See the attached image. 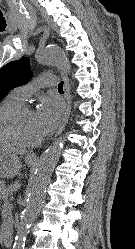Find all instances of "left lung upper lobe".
<instances>
[{"label":"left lung upper lobe","mask_w":135,"mask_h":249,"mask_svg":"<svg viewBox=\"0 0 135 249\" xmlns=\"http://www.w3.org/2000/svg\"><path fill=\"white\" fill-rule=\"evenodd\" d=\"M31 77L29 59L26 57L3 66L0 69V99L15 87L26 84Z\"/></svg>","instance_id":"1"}]
</instances>
